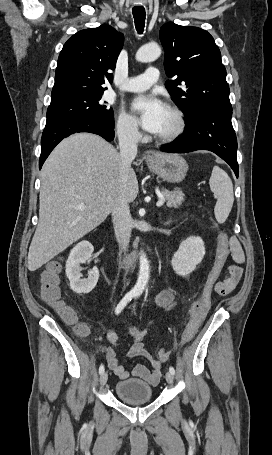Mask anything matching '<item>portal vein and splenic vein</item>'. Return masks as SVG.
I'll return each mask as SVG.
<instances>
[{"instance_id":"portal-vein-and-splenic-vein-1","label":"portal vein and splenic vein","mask_w":272,"mask_h":455,"mask_svg":"<svg viewBox=\"0 0 272 455\" xmlns=\"http://www.w3.org/2000/svg\"><path fill=\"white\" fill-rule=\"evenodd\" d=\"M164 202H165V197H161L156 204L157 207L162 206L164 204ZM79 209H85V205L82 204L81 206H79Z\"/></svg>"}]
</instances>
